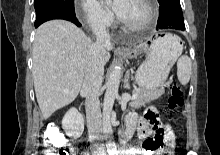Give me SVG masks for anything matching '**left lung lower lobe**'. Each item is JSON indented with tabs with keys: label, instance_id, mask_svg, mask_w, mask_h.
<instances>
[{
	"label": "left lung lower lobe",
	"instance_id": "0a47b994",
	"mask_svg": "<svg viewBox=\"0 0 220 155\" xmlns=\"http://www.w3.org/2000/svg\"><path fill=\"white\" fill-rule=\"evenodd\" d=\"M158 29L185 30L184 18L180 1H171L160 4Z\"/></svg>",
	"mask_w": 220,
	"mask_h": 155
}]
</instances>
